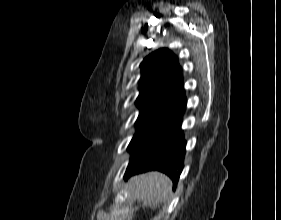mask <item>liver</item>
Here are the masks:
<instances>
[{
	"mask_svg": "<svg viewBox=\"0 0 281 220\" xmlns=\"http://www.w3.org/2000/svg\"><path fill=\"white\" fill-rule=\"evenodd\" d=\"M129 186L142 206L155 209L162 204L172 191L171 180L158 171L136 175L129 180Z\"/></svg>",
	"mask_w": 281,
	"mask_h": 220,
	"instance_id": "1",
	"label": "liver"
}]
</instances>
